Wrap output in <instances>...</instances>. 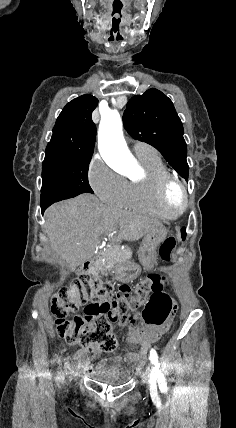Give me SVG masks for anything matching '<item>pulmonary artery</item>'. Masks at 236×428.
Here are the masks:
<instances>
[{
	"label": "pulmonary artery",
	"mask_w": 236,
	"mask_h": 428,
	"mask_svg": "<svg viewBox=\"0 0 236 428\" xmlns=\"http://www.w3.org/2000/svg\"><path fill=\"white\" fill-rule=\"evenodd\" d=\"M149 146L145 145V144H137L134 146V151L136 152H145L147 150H149Z\"/></svg>",
	"instance_id": "e3ab8cb5"
}]
</instances>
